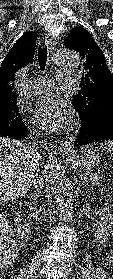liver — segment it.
I'll list each match as a JSON object with an SVG mask.
<instances>
[{"instance_id":"obj_1","label":"liver","mask_w":113,"mask_h":279,"mask_svg":"<svg viewBox=\"0 0 113 279\" xmlns=\"http://www.w3.org/2000/svg\"><path fill=\"white\" fill-rule=\"evenodd\" d=\"M39 160V154L26 142L0 137V205L28 192Z\"/></svg>"}]
</instances>
